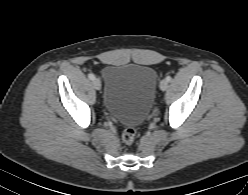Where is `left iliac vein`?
I'll return each mask as SVG.
<instances>
[{"label": "left iliac vein", "mask_w": 248, "mask_h": 195, "mask_svg": "<svg viewBox=\"0 0 248 195\" xmlns=\"http://www.w3.org/2000/svg\"><path fill=\"white\" fill-rule=\"evenodd\" d=\"M167 88H168V81L164 79L160 82V89L162 91H165Z\"/></svg>", "instance_id": "1"}]
</instances>
